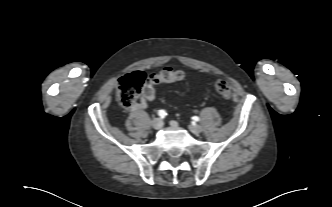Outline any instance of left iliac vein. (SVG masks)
<instances>
[{
  "label": "left iliac vein",
  "instance_id": "4c4485c4",
  "mask_svg": "<svg viewBox=\"0 0 332 207\" xmlns=\"http://www.w3.org/2000/svg\"><path fill=\"white\" fill-rule=\"evenodd\" d=\"M189 129L194 134H199L202 131V128L199 125H189Z\"/></svg>",
  "mask_w": 332,
  "mask_h": 207
}]
</instances>
